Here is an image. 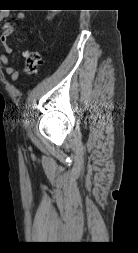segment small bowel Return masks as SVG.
I'll return each instance as SVG.
<instances>
[{"label": "small bowel", "instance_id": "c3829d8e", "mask_svg": "<svg viewBox=\"0 0 138 253\" xmlns=\"http://www.w3.org/2000/svg\"><path fill=\"white\" fill-rule=\"evenodd\" d=\"M23 18H24V14H18L13 21L4 23L2 26V34L0 36V43L5 51V54H2L0 56V62L3 65L5 73L10 76L13 82L18 79L19 71L16 68L10 66L9 64V59H8L7 54H11L13 52V48L8 43V39L14 31L16 21ZM25 54H26V51L24 52V55Z\"/></svg>", "mask_w": 138, "mask_h": 253}]
</instances>
